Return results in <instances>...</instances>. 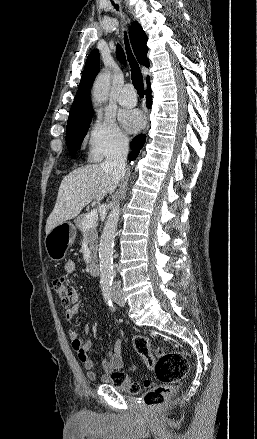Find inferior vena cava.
I'll use <instances>...</instances> for the list:
<instances>
[{
    "instance_id": "1",
    "label": "inferior vena cava",
    "mask_w": 257,
    "mask_h": 439,
    "mask_svg": "<svg viewBox=\"0 0 257 439\" xmlns=\"http://www.w3.org/2000/svg\"><path fill=\"white\" fill-rule=\"evenodd\" d=\"M129 140L126 137L117 139L110 147L104 162L105 167L113 169L114 187L120 178L125 174V162L128 155ZM115 287H120L119 282H115Z\"/></svg>"
}]
</instances>
